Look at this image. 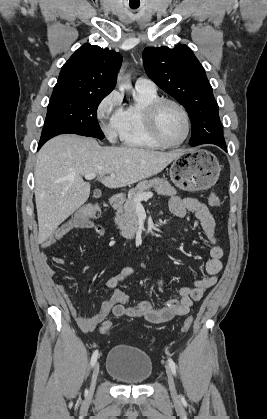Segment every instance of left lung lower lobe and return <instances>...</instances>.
Listing matches in <instances>:
<instances>
[{"instance_id":"left-lung-lower-lobe-1","label":"left lung lower lobe","mask_w":267,"mask_h":419,"mask_svg":"<svg viewBox=\"0 0 267 419\" xmlns=\"http://www.w3.org/2000/svg\"><path fill=\"white\" fill-rule=\"evenodd\" d=\"M215 144L220 146L222 149L227 151L225 141L220 142L214 139V136L210 132H206L204 136L195 137L194 142L189 143L191 146H197L200 144Z\"/></svg>"}]
</instances>
